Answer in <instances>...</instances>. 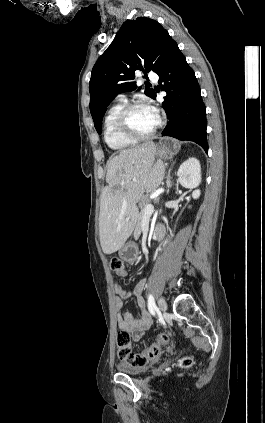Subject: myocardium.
<instances>
[{
  "instance_id": "1",
  "label": "myocardium",
  "mask_w": 265,
  "mask_h": 423,
  "mask_svg": "<svg viewBox=\"0 0 265 423\" xmlns=\"http://www.w3.org/2000/svg\"><path fill=\"white\" fill-rule=\"evenodd\" d=\"M139 107L151 108L145 102L133 101V102L125 104L124 107L119 112L118 117H117V129L120 132V134L122 136H124L125 138L136 141V142L151 139L158 132V130L160 129V127L162 125V121L158 117L157 118L158 119L157 124L152 131H150L147 134H137V133H135L129 125L128 117L134 109L139 108Z\"/></svg>"
}]
</instances>
